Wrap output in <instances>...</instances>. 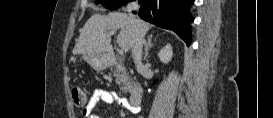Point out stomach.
<instances>
[{"label": "stomach", "instance_id": "1", "mask_svg": "<svg viewBox=\"0 0 273 118\" xmlns=\"http://www.w3.org/2000/svg\"><path fill=\"white\" fill-rule=\"evenodd\" d=\"M84 58L94 70L101 71L108 66V58L104 52L88 54Z\"/></svg>", "mask_w": 273, "mask_h": 118}]
</instances>
